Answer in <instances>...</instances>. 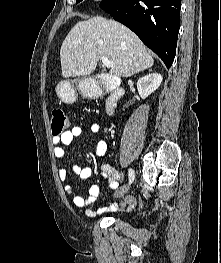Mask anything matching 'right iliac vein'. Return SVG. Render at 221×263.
Listing matches in <instances>:
<instances>
[{"instance_id":"obj_1","label":"right iliac vein","mask_w":221,"mask_h":263,"mask_svg":"<svg viewBox=\"0 0 221 263\" xmlns=\"http://www.w3.org/2000/svg\"><path fill=\"white\" fill-rule=\"evenodd\" d=\"M127 190H128V187H124L120 192H118V193L115 195V197H116V198H119V197L123 196V195L127 192Z\"/></svg>"}]
</instances>
